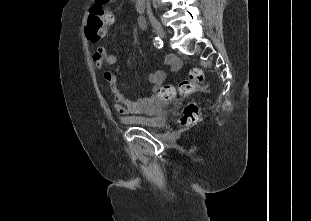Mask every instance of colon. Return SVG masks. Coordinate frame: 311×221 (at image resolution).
Wrapping results in <instances>:
<instances>
[{"label": "colon", "mask_w": 311, "mask_h": 221, "mask_svg": "<svg viewBox=\"0 0 311 221\" xmlns=\"http://www.w3.org/2000/svg\"><path fill=\"white\" fill-rule=\"evenodd\" d=\"M110 0H98L90 10V24L86 27V39L97 40L104 36L106 31L111 26L113 16L107 3ZM103 29V33L100 36V31ZM204 80L203 70L200 68H191L186 78H183L178 85H168L165 88H159L157 93L158 99H169L177 94L181 96H189L198 90ZM201 119L200 109L194 104H187L183 109L181 115V122L185 126H192L198 123Z\"/></svg>", "instance_id": "colon-1"}]
</instances>
